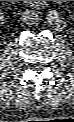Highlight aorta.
<instances>
[{
  "label": "aorta",
  "instance_id": "1",
  "mask_svg": "<svg viewBox=\"0 0 74 122\" xmlns=\"http://www.w3.org/2000/svg\"><path fill=\"white\" fill-rule=\"evenodd\" d=\"M53 14L54 12H49L46 16V21L49 25H54V24H57L58 22L57 15L52 16Z\"/></svg>",
  "mask_w": 74,
  "mask_h": 122
}]
</instances>
